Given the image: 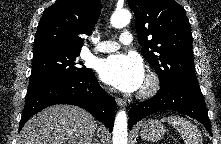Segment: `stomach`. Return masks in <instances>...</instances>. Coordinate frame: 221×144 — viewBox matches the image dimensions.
I'll return each mask as SVG.
<instances>
[{
  "mask_svg": "<svg viewBox=\"0 0 221 144\" xmlns=\"http://www.w3.org/2000/svg\"><path fill=\"white\" fill-rule=\"evenodd\" d=\"M139 134L143 140L158 141L163 138L165 128L163 124L156 119H147L139 124Z\"/></svg>",
  "mask_w": 221,
  "mask_h": 144,
  "instance_id": "0dacf381",
  "label": "stomach"
}]
</instances>
